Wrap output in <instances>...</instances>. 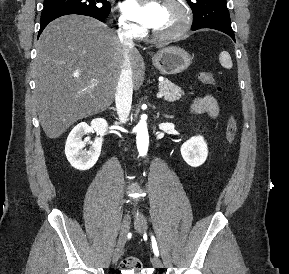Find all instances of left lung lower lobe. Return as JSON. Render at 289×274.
<instances>
[{"instance_id": "0a47b994", "label": "left lung lower lobe", "mask_w": 289, "mask_h": 274, "mask_svg": "<svg viewBox=\"0 0 289 274\" xmlns=\"http://www.w3.org/2000/svg\"><path fill=\"white\" fill-rule=\"evenodd\" d=\"M201 28H211V29L219 30V31L224 32L225 34L229 35L235 41L234 32H233L231 27L205 26V27H200V28H192V30H197V29H201Z\"/></svg>"}]
</instances>
